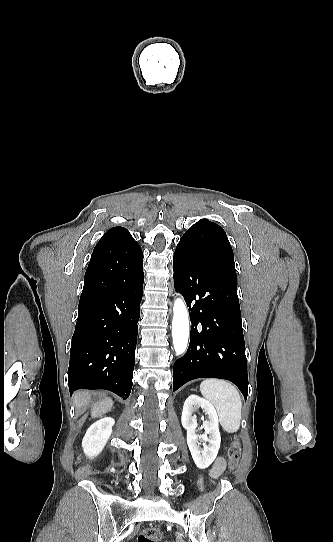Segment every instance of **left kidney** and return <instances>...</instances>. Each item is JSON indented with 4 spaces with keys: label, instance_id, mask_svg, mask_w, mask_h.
Here are the masks:
<instances>
[{
    "label": "left kidney",
    "instance_id": "obj_1",
    "mask_svg": "<svg viewBox=\"0 0 333 542\" xmlns=\"http://www.w3.org/2000/svg\"><path fill=\"white\" fill-rule=\"evenodd\" d=\"M195 408H202L203 412L208 416L209 422H204L203 424L205 430L203 436H197L196 434L197 420L192 416ZM181 422L183 428L187 430V446L191 452V456L197 468L205 470V468H208L214 462L221 444L217 412L208 400L192 394L184 402ZM199 442H209V444L208 446H204V448H200Z\"/></svg>",
    "mask_w": 333,
    "mask_h": 542
}]
</instances>
